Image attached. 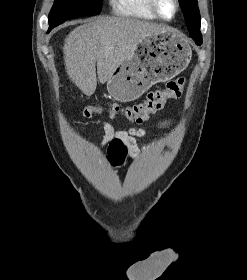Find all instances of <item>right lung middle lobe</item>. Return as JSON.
<instances>
[{"mask_svg": "<svg viewBox=\"0 0 247 280\" xmlns=\"http://www.w3.org/2000/svg\"><path fill=\"white\" fill-rule=\"evenodd\" d=\"M102 0H55L49 13V30L64 21L84 15H98Z\"/></svg>", "mask_w": 247, "mask_h": 280, "instance_id": "obj_1", "label": "right lung middle lobe"}]
</instances>
